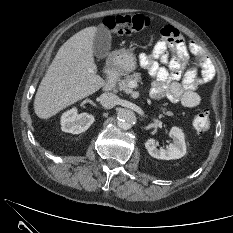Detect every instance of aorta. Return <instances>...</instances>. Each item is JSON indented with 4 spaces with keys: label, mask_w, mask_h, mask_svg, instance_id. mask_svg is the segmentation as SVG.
<instances>
[{
    "label": "aorta",
    "mask_w": 233,
    "mask_h": 233,
    "mask_svg": "<svg viewBox=\"0 0 233 233\" xmlns=\"http://www.w3.org/2000/svg\"><path fill=\"white\" fill-rule=\"evenodd\" d=\"M118 126L122 129H130L136 117L135 113L129 109H120L117 113Z\"/></svg>",
    "instance_id": "obj_1"
}]
</instances>
